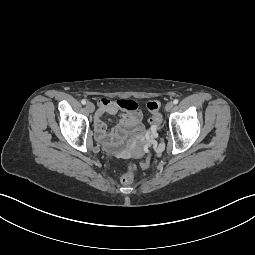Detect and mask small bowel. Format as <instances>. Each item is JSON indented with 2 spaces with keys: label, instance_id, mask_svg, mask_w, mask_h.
<instances>
[{
  "label": "small bowel",
  "instance_id": "c3829d8e",
  "mask_svg": "<svg viewBox=\"0 0 255 255\" xmlns=\"http://www.w3.org/2000/svg\"><path fill=\"white\" fill-rule=\"evenodd\" d=\"M95 114L97 139L107 148L117 147L128 134L142 130L141 114L138 104L133 100L101 98ZM105 114L119 115L118 124L112 130L103 120Z\"/></svg>",
  "mask_w": 255,
  "mask_h": 255
}]
</instances>
